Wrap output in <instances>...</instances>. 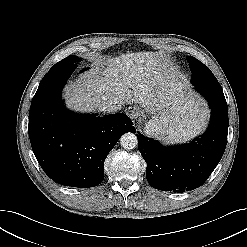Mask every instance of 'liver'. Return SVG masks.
Here are the masks:
<instances>
[{"label": "liver", "mask_w": 247, "mask_h": 247, "mask_svg": "<svg viewBox=\"0 0 247 247\" xmlns=\"http://www.w3.org/2000/svg\"><path fill=\"white\" fill-rule=\"evenodd\" d=\"M184 84L163 55L158 52L122 54L101 62V66L66 86V103L80 111H101L100 104L112 98L132 101L154 114L178 100ZM183 110L194 116L197 105L189 102ZM191 123L200 128L199 121Z\"/></svg>", "instance_id": "liver-1"}]
</instances>
